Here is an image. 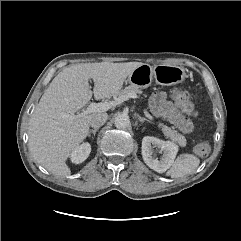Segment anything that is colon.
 <instances>
[{"label": "colon", "instance_id": "colon-1", "mask_svg": "<svg viewBox=\"0 0 241 241\" xmlns=\"http://www.w3.org/2000/svg\"><path fill=\"white\" fill-rule=\"evenodd\" d=\"M172 96L175 103L181 108L184 113L192 117L199 116L198 110L196 109L194 103L190 100L186 92L180 89H174L172 91ZM195 151L199 156L205 157L210 152V145L207 142H201L197 144Z\"/></svg>", "mask_w": 241, "mask_h": 241}]
</instances>
